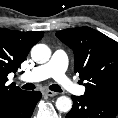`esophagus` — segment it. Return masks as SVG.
<instances>
[{
	"instance_id": "1",
	"label": "esophagus",
	"mask_w": 118,
	"mask_h": 118,
	"mask_svg": "<svg viewBox=\"0 0 118 118\" xmlns=\"http://www.w3.org/2000/svg\"><path fill=\"white\" fill-rule=\"evenodd\" d=\"M47 96H50V97H53V96H56L57 93L56 92H53V91H50V90H46L44 92Z\"/></svg>"
}]
</instances>
